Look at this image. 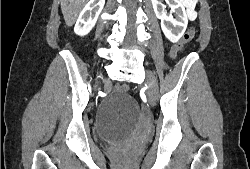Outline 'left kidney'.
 <instances>
[{
    "instance_id": "5707ae66",
    "label": "left kidney",
    "mask_w": 250,
    "mask_h": 169,
    "mask_svg": "<svg viewBox=\"0 0 250 169\" xmlns=\"http://www.w3.org/2000/svg\"><path fill=\"white\" fill-rule=\"evenodd\" d=\"M162 2L163 0H152L154 12L157 18H161V28L165 36L171 42H177L187 28L188 18L186 10L181 0H166L167 4H170L172 12L177 14V18H173L172 14L168 16L165 4H162ZM173 26L175 30H173Z\"/></svg>"
}]
</instances>
